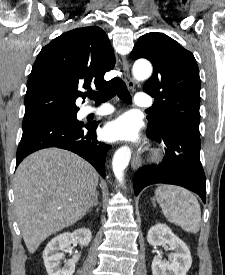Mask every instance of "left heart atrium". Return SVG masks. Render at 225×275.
Listing matches in <instances>:
<instances>
[{"mask_svg":"<svg viewBox=\"0 0 225 275\" xmlns=\"http://www.w3.org/2000/svg\"><path fill=\"white\" fill-rule=\"evenodd\" d=\"M104 136L108 140H136L138 138L137 122L130 116L120 117L106 125Z\"/></svg>","mask_w":225,"mask_h":275,"instance_id":"left-heart-atrium-1","label":"left heart atrium"}]
</instances>
